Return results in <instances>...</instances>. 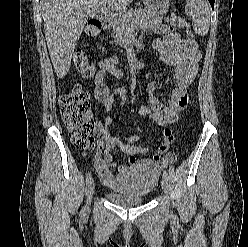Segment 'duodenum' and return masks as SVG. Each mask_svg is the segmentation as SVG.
I'll use <instances>...</instances> for the list:
<instances>
[{"mask_svg": "<svg viewBox=\"0 0 248 247\" xmlns=\"http://www.w3.org/2000/svg\"><path fill=\"white\" fill-rule=\"evenodd\" d=\"M97 23H98L100 28H102V27L105 28L108 24L106 17H103V16L98 18Z\"/></svg>", "mask_w": 248, "mask_h": 247, "instance_id": "obj_1", "label": "duodenum"}]
</instances>
